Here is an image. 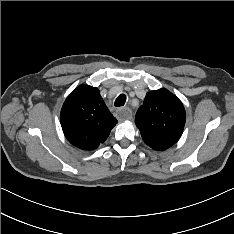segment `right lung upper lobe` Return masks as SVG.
<instances>
[{"instance_id":"1","label":"right lung upper lobe","mask_w":234,"mask_h":234,"mask_svg":"<svg viewBox=\"0 0 234 234\" xmlns=\"http://www.w3.org/2000/svg\"><path fill=\"white\" fill-rule=\"evenodd\" d=\"M60 121L67 140L83 150L104 143L117 120L96 87L80 85L65 100Z\"/></svg>"}]
</instances>
